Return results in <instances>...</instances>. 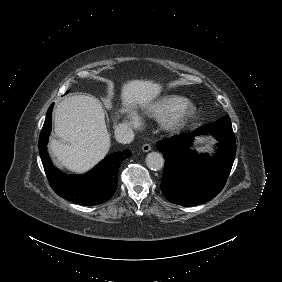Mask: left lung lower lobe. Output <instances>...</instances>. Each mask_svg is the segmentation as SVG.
Wrapping results in <instances>:
<instances>
[{
  "instance_id": "left-lung-lower-lobe-1",
  "label": "left lung lower lobe",
  "mask_w": 282,
  "mask_h": 282,
  "mask_svg": "<svg viewBox=\"0 0 282 282\" xmlns=\"http://www.w3.org/2000/svg\"><path fill=\"white\" fill-rule=\"evenodd\" d=\"M213 135L218 144L214 157L190 150L195 136ZM165 166L161 190L172 203L185 207L205 203L223 189L236 154V140L228 116L203 125L191 133H182L158 141Z\"/></svg>"
}]
</instances>
